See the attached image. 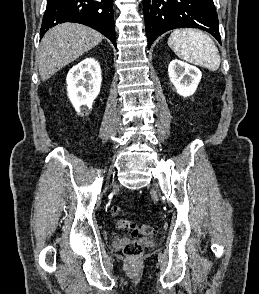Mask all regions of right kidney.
<instances>
[{
	"label": "right kidney",
	"instance_id": "ca27d5eb",
	"mask_svg": "<svg viewBox=\"0 0 259 294\" xmlns=\"http://www.w3.org/2000/svg\"><path fill=\"white\" fill-rule=\"evenodd\" d=\"M101 68L94 58H86L68 72L66 83L68 97L75 110L86 113L100 92Z\"/></svg>",
	"mask_w": 259,
	"mask_h": 294
}]
</instances>
